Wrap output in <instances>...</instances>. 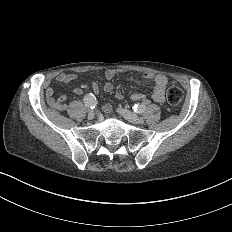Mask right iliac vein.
Segmentation results:
<instances>
[{
  "mask_svg": "<svg viewBox=\"0 0 232 232\" xmlns=\"http://www.w3.org/2000/svg\"><path fill=\"white\" fill-rule=\"evenodd\" d=\"M95 117V112L94 111H89L88 112V119L92 120Z\"/></svg>",
  "mask_w": 232,
  "mask_h": 232,
  "instance_id": "right-iliac-vein-1",
  "label": "right iliac vein"
}]
</instances>
